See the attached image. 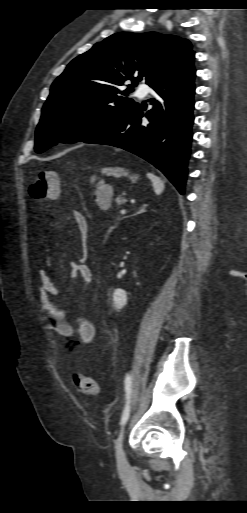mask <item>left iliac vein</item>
Wrapping results in <instances>:
<instances>
[{
	"mask_svg": "<svg viewBox=\"0 0 247 513\" xmlns=\"http://www.w3.org/2000/svg\"><path fill=\"white\" fill-rule=\"evenodd\" d=\"M124 434H125V423H124V426L120 430V433L118 435L116 445H115L117 468H118L119 472H121V473L125 472L129 467V464H128V461L126 459V455H125V452L123 449Z\"/></svg>",
	"mask_w": 247,
	"mask_h": 513,
	"instance_id": "obj_1",
	"label": "left iliac vein"
}]
</instances>
